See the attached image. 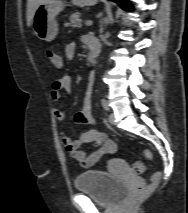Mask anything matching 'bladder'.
Here are the masks:
<instances>
[{
	"label": "bladder",
	"instance_id": "1",
	"mask_svg": "<svg viewBox=\"0 0 188 213\" xmlns=\"http://www.w3.org/2000/svg\"><path fill=\"white\" fill-rule=\"evenodd\" d=\"M74 185L97 204L108 207L118 204L127 193L126 183L104 170L83 171L75 177Z\"/></svg>",
	"mask_w": 188,
	"mask_h": 213
}]
</instances>
